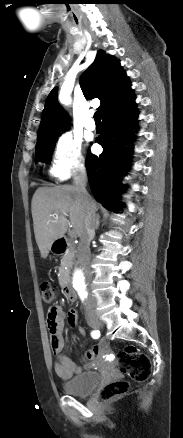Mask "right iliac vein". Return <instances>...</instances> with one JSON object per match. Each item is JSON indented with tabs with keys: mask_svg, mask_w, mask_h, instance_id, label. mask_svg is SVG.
I'll use <instances>...</instances> for the list:
<instances>
[{
	"mask_svg": "<svg viewBox=\"0 0 183 438\" xmlns=\"http://www.w3.org/2000/svg\"><path fill=\"white\" fill-rule=\"evenodd\" d=\"M89 325L93 328H99L101 327L102 322L97 315H93L89 318Z\"/></svg>",
	"mask_w": 183,
	"mask_h": 438,
	"instance_id": "1",
	"label": "right iliac vein"
}]
</instances>
